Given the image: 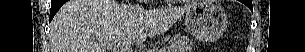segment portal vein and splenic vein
I'll return each instance as SVG.
<instances>
[{
	"label": "portal vein and splenic vein",
	"instance_id": "obj_1",
	"mask_svg": "<svg viewBox=\"0 0 305 52\" xmlns=\"http://www.w3.org/2000/svg\"><path fill=\"white\" fill-rule=\"evenodd\" d=\"M109 46H110V48H112V47H113V45H112V44H110ZM115 48H116V47H114V49H115Z\"/></svg>",
	"mask_w": 305,
	"mask_h": 52
}]
</instances>
